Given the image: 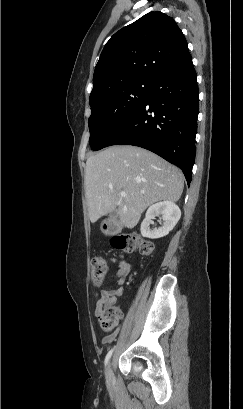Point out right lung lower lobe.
<instances>
[{
    "label": "right lung lower lobe",
    "mask_w": 243,
    "mask_h": 409,
    "mask_svg": "<svg viewBox=\"0 0 243 409\" xmlns=\"http://www.w3.org/2000/svg\"><path fill=\"white\" fill-rule=\"evenodd\" d=\"M198 110L197 75L187 50L156 79L141 106L107 146L148 149L181 168L190 185Z\"/></svg>",
    "instance_id": "98d812e1"
}]
</instances>
